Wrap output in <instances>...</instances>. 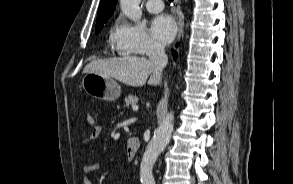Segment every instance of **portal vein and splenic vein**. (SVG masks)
<instances>
[{"label":"portal vein and splenic vein","instance_id":"1","mask_svg":"<svg viewBox=\"0 0 293 184\" xmlns=\"http://www.w3.org/2000/svg\"><path fill=\"white\" fill-rule=\"evenodd\" d=\"M132 109H133V111H138V106L135 105V106L132 107Z\"/></svg>","mask_w":293,"mask_h":184}]
</instances>
